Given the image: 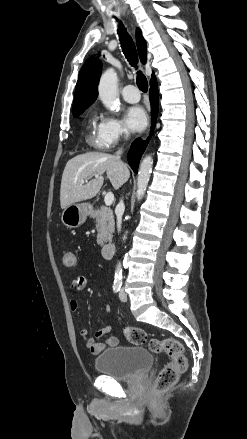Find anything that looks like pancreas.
Here are the masks:
<instances>
[{"mask_svg":"<svg viewBox=\"0 0 247 439\" xmlns=\"http://www.w3.org/2000/svg\"><path fill=\"white\" fill-rule=\"evenodd\" d=\"M90 217L95 219L97 228V244L103 246L105 242L112 240L114 232V217L110 208L101 207L90 211Z\"/></svg>","mask_w":247,"mask_h":439,"instance_id":"cf45deb5","label":"pancreas"}]
</instances>
